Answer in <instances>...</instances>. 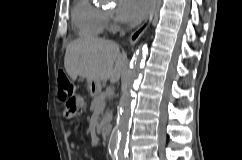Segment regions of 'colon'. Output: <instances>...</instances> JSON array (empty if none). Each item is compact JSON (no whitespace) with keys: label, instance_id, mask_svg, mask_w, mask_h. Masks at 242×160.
<instances>
[{"label":"colon","instance_id":"1","mask_svg":"<svg viewBox=\"0 0 242 160\" xmlns=\"http://www.w3.org/2000/svg\"><path fill=\"white\" fill-rule=\"evenodd\" d=\"M57 79L59 84L58 98L65 104V110L68 115H75L78 111L79 103L73 96L74 86L64 72H59Z\"/></svg>","mask_w":242,"mask_h":160}]
</instances>
